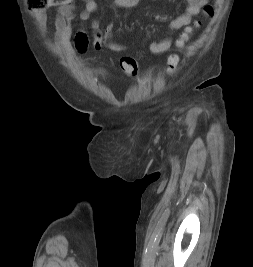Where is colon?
<instances>
[{
	"label": "colon",
	"instance_id": "5ec220e1",
	"mask_svg": "<svg viewBox=\"0 0 253 267\" xmlns=\"http://www.w3.org/2000/svg\"><path fill=\"white\" fill-rule=\"evenodd\" d=\"M68 0H28V5L31 9L36 11H42L49 6H62L66 4ZM203 12L206 16H212L214 9L211 6H205ZM200 22H195L192 26L185 29L184 33L178 40V45H184L188 39L190 32L199 26ZM113 41V36L105 32V30L96 29L93 34L92 44L94 49L102 50L108 48L109 44ZM178 57L176 55L169 56L166 65V71L172 73L178 64ZM120 67L122 71L128 75H136L138 73V63L134 58L124 57L120 60Z\"/></svg>",
	"mask_w": 253,
	"mask_h": 267
}]
</instances>
